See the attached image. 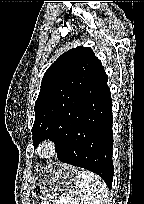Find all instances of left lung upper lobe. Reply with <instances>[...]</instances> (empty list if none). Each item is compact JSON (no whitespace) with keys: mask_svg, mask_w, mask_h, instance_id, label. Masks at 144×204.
Wrapping results in <instances>:
<instances>
[{"mask_svg":"<svg viewBox=\"0 0 144 204\" xmlns=\"http://www.w3.org/2000/svg\"><path fill=\"white\" fill-rule=\"evenodd\" d=\"M103 71L90 47H77L62 54L45 72L35 102L32 128L34 146L44 139L55 145L70 131L86 101V88Z\"/></svg>","mask_w":144,"mask_h":204,"instance_id":"5c2ea615","label":"left lung upper lobe"}]
</instances>
